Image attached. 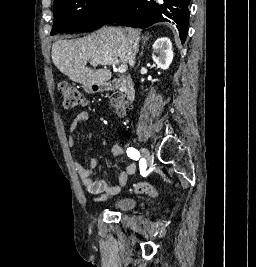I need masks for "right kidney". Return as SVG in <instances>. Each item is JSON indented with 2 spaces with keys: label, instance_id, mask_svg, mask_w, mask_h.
<instances>
[{
  "label": "right kidney",
  "instance_id": "right-kidney-1",
  "mask_svg": "<svg viewBox=\"0 0 256 267\" xmlns=\"http://www.w3.org/2000/svg\"><path fill=\"white\" fill-rule=\"evenodd\" d=\"M152 48L154 54H158V58H155L158 68L168 70L173 60L172 44L169 38H158Z\"/></svg>",
  "mask_w": 256,
  "mask_h": 267
}]
</instances>
